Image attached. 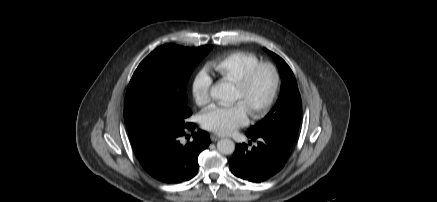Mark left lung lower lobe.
<instances>
[{"instance_id":"1","label":"left lung lower lobe","mask_w":437,"mask_h":202,"mask_svg":"<svg viewBox=\"0 0 437 202\" xmlns=\"http://www.w3.org/2000/svg\"><path fill=\"white\" fill-rule=\"evenodd\" d=\"M246 135L257 145L249 147L242 143L236 146L229 160L231 172L243 180L265 181L284 167L291 147L266 134L247 132Z\"/></svg>"}]
</instances>
